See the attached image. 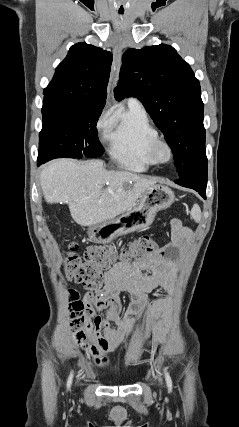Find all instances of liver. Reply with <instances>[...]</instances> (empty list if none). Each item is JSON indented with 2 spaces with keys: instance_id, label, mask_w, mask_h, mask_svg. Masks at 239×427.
Instances as JSON below:
<instances>
[{
  "instance_id": "obj_1",
  "label": "liver",
  "mask_w": 239,
  "mask_h": 427,
  "mask_svg": "<svg viewBox=\"0 0 239 427\" xmlns=\"http://www.w3.org/2000/svg\"><path fill=\"white\" fill-rule=\"evenodd\" d=\"M128 183L131 187L126 186ZM155 184L127 171L107 170L102 160H53L40 173L45 201L66 202L72 218L81 226H93L128 211Z\"/></svg>"
}]
</instances>
